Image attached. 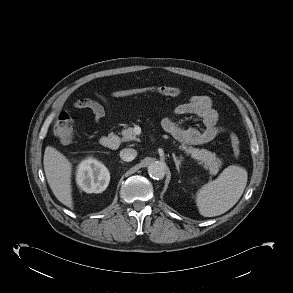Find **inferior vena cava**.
Masks as SVG:
<instances>
[{
	"label": "inferior vena cava",
	"mask_w": 293,
	"mask_h": 293,
	"mask_svg": "<svg viewBox=\"0 0 293 293\" xmlns=\"http://www.w3.org/2000/svg\"><path fill=\"white\" fill-rule=\"evenodd\" d=\"M137 156V151L132 148H125L120 151V158L123 161L130 162Z\"/></svg>",
	"instance_id": "inferior-vena-cava-1"
}]
</instances>
